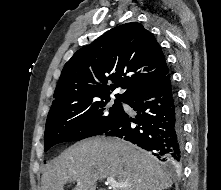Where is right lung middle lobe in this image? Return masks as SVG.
Segmentation results:
<instances>
[{
	"label": "right lung middle lobe",
	"instance_id": "right-lung-middle-lobe-1",
	"mask_svg": "<svg viewBox=\"0 0 221 190\" xmlns=\"http://www.w3.org/2000/svg\"><path fill=\"white\" fill-rule=\"evenodd\" d=\"M110 97L70 104L49 111L45 128V151L65 141H79L110 130L122 117L123 107Z\"/></svg>",
	"mask_w": 221,
	"mask_h": 190
}]
</instances>
